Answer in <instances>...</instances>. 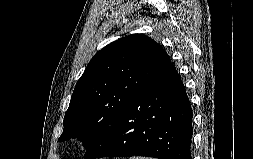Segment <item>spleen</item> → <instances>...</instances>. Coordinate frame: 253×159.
Segmentation results:
<instances>
[{
    "instance_id": "3e777b00",
    "label": "spleen",
    "mask_w": 253,
    "mask_h": 159,
    "mask_svg": "<svg viewBox=\"0 0 253 159\" xmlns=\"http://www.w3.org/2000/svg\"><path fill=\"white\" fill-rule=\"evenodd\" d=\"M130 159H153V158L133 156V157H131Z\"/></svg>"
}]
</instances>
